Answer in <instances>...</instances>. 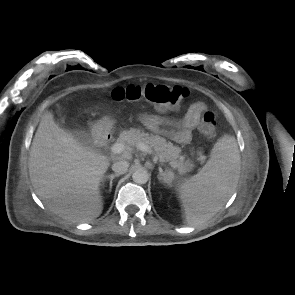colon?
<instances>
[{
  "mask_svg": "<svg viewBox=\"0 0 295 295\" xmlns=\"http://www.w3.org/2000/svg\"><path fill=\"white\" fill-rule=\"evenodd\" d=\"M187 89L180 86H167L157 84L129 85L112 90L113 100L146 101L160 109L177 108L188 97ZM216 119L211 111H206L202 116L199 131L208 137L215 134Z\"/></svg>",
  "mask_w": 295,
  "mask_h": 295,
  "instance_id": "colon-1",
  "label": "colon"
}]
</instances>
